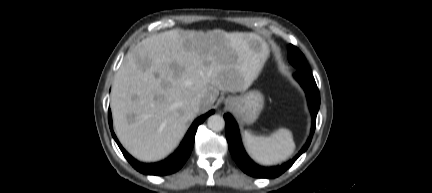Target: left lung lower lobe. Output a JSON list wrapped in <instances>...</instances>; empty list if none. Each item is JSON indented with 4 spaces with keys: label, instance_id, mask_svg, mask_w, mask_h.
<instances>
[{
    "label": "left lung lower lobe",
    "instance_id": "1",
    "mask_svg": "<svg viewBox=\"0 0 432 193\" xmlns=\"http://www.w3.org/2000/svg\"><path fill=\"white\" fill-rule=\"evenodd\" d=\"M295 79L300 83L303 87L307 100L309 109L313 118L312 124V133L310 138L307 140L305 146L302 150L296 155L292 160L287 162L282 166L272 167V168H264L258 166L255 162H253L250 157L247 155L239 134L238 126L235 120L232 118L230 114H225L224 119L226 122V137L228 141L229 150L235 162L238 166L248 175L258 178H275L281 175L284 171H286L292 164L296 161V159L307 150L311 143L312 135L315 130L316 123V115L318 113L320 107V97L319 90L317 88L316 82L311 75V71H306L302 69H298L294 74Z\"/></svg>",
    "mask_w": 432,
    "mask_h": 193
}]
</instances>
